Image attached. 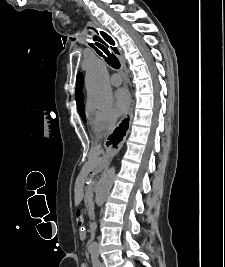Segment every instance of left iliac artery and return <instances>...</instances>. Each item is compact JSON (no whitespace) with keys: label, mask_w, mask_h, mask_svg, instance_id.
Segmentation results:
<instances>
[{"label":"left iliac artery","mask_w":225,"mask_h":267,"mask_svg":"<svg viewBox=\"0 0 225 267\" xmlns=\"http://www.w3.org/2000/svg\"><path fill=\"white\" fill-rule=\"evenodd\" d=\"M91 260L93 267H100L99 254L97 251L91 252Z\"/></svg>","instance_id":"obj_1"}]
</instances>
